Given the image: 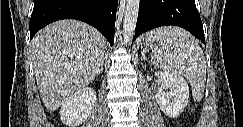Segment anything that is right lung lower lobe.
I'll return each mask as SVG.
<instances>
[{
	"label": "right lung lower lobe",
	"mask_w": 243,
	"mask_h": 127,
	"mask_svg": "<svg viewBox=\"0 0 243 127\" xmlns=\"http://www.w3.org/2000/svg\"><path fill=\"white\" fill-rule=\"evenodd\" d=\"M118 0H35L30 19V39L38 30L61 19L84 21L114 43Z\"/></svg>",
	"instance_id": "obj_1"
}]
</instances>
